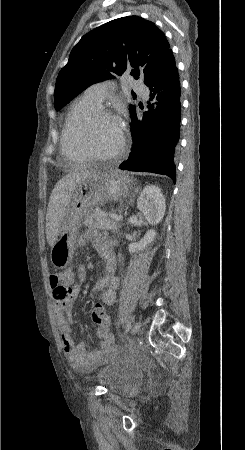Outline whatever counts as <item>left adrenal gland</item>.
Masks as SVG:
<instances>
[{"label": "left adrenal gland", "instance_id": "left-adrenal-gland-1", "mask_svg": "<svg viewBox=\"0 0 245 450\" xmlns=\"http://www.w3.org/2000/svg\"><path fill=\"white\" fill-rule=\"evenodd\" d=\"M140 191V187H136L134 188L133 192H132V197L130 198L128 204H130L131 202H133V198L135 197V194H138ZM127 209H128V205L125 208V215L127 214Z\"/></svg>", "mask_w": 245, "mask_h": 450}]
</instances>
